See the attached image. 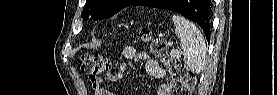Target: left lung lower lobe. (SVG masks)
<instances>
[{
    "label": "left lung lower lobe",
    "instance_id": "0a47b994",
    "mask_svg": "<svg viewBox=\"0 0 277 95\" xmlns=\"http://www.w3.org/2000/svg\"><path fill=\"white\" fill-rule=\"evenodd\" d=\"M132 5L158 8L159 0H137ZM211 7L210 0H177L175 4L166 9L178 12L188 19L195 21L203 29L207 40L210 41Z\"/></svg>",
    "mask_w": 277,
    "mask_h": 95
}]
</instances>
